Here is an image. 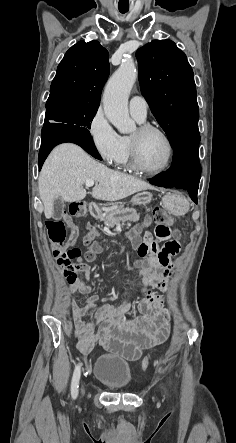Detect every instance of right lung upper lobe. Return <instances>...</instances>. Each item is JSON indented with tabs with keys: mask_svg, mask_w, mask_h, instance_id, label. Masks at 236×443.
<instances>
[{
	"mask_svg": "<svg viewBox=\"0 0 236 443\" xmlns=\"http://www.w3.org/2000/svg\"><path fill=\"white\" fill-rule=\"evenodd\" d=\"M108 60V51L98 41L76 43L58 65L47 103L68 100L98 107L109 75Z\"/></svg>",
	"mask_w": 236,
	"mask_h": 443,
	"instance_id": "obj_1",
	"label": "right lung upper lobe"
}]
</instances>
